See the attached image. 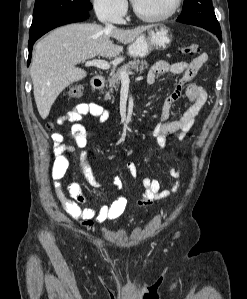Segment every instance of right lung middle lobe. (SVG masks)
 Instances as JSON below:
<instances>
[{
  "instance_id": "dd1d6c3e",
  "label": "right lung middle lobe",
  "mask_w": 247,
  "mask_h": 299,
  "mask_svg": "<svg viewBox=\"0 0 247 299\" xmlns=\"http://www.w3.org/2000/svg\"><path fill=\"white\" fill-rule=\"evenodd\" d=\"M91 9L89 0H36L30 33L65 14Z\"/></svg>"
}]
</instances>
